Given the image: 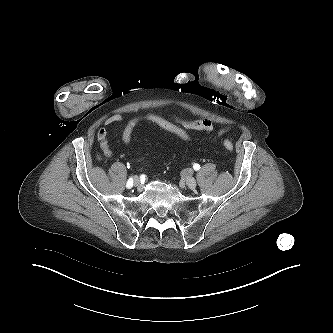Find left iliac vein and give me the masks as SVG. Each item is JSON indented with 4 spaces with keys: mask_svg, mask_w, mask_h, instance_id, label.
Listing matches in <instances>:
<instances>
[{
    "mask_svg": "<svg viewBox=\"0 0 333 333\" xmlns=\"http://www.w3.org/2000/svg\"><path fill=\"white\" fill-rule=\"evenodd\" d=\"M182 182H184L190 189H195L197 185L196 180L188 174H185L182 177Z\"/></svg>",
    "mask_w": 333,
    "mask_h": 333,
    "instance_id": "1",
    "label": "left iliac vein"
}]
</instances>
